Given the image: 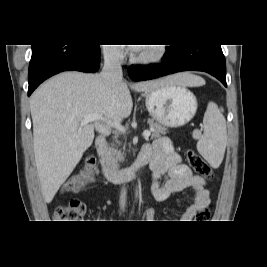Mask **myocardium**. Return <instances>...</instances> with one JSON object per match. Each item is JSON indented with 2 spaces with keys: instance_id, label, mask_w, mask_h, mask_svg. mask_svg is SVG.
Wrapping results in <instances>:
<instances>
[{
  "instance_id": "f54148a6",
  "label": "myocardium",
  "mask_w": 267,
  "mask_h": 267,
  "mask_svg": "<svg viewBox=\"0 0 267 267\" xmlns=\"http://www.w3.org/2000/svg\"><path fill=\"white\" fill-rule=\"evenodd\" d=\"M166 54V47L162 44H157L152 51L139 53L132 57L133 61L140 64H151L161 60Z\"/></svg>"
}]
</instances>
